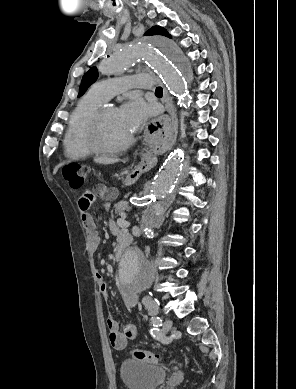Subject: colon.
Listing matches in <instances>:
<instances>
[{
	"label": "colon",
	"instance_id": "1",
	"mask_svg": "<svg viewBox=\"0 0 296 389\" xmlns=\"http://www.w3.org/2000/svg\"><path fill=\"white\" fill-rule=\"evenodd\" d=\"M87 172V167L78 163H72L63 168V176L73 189L83 186ZM130 354L134 359L148 364H156L161 360L158 353L149 350L133 349Z\"/></svg>",
	"mask_w": 296,
	"mask_h": 389
}]
</instances>
